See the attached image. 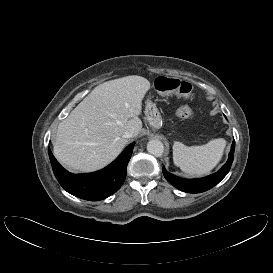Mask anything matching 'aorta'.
<instances>
[{
	"mask_svg": "<svg viewBox=\"0 0 273 273\" xmlns=\"http://www.w3.org/2000/svg\"><path fill=\"white\" fill-rule=\"evenodd\" d=\"M147 151L155 157H160L164 153V145L160 140H150L147 143Z\"/></svg>",
	"mask_w": 273,
	"mask_h": 273,
	"instance_id": "obj_1",
	"label": "aorta"
}]
</instances>
